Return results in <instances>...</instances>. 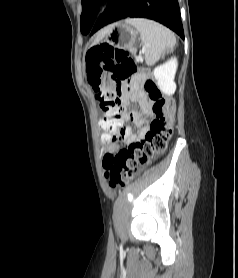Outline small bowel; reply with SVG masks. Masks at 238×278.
I'll return each instance as SVG.
<instances>
[{
  "label": "small bowel",
  "instance_id": "small-bowel-1",
  "mask_svg": "<svg viewBox=\"0 0 238 278\" xmlns=\"http://www.w3.org/2000/svg\"><path fill=\"white\" fill-rule=\"evenodd\" d=\"M130 102L138 103L141 109V113L137 111L128 110L127 107ZM152 102L148 98L145 90L143 89L142 81L139 78H135L123 85L122 95V113L120 119V127L114 135L104 134L103 140L109 142L108 149H114L118 144H126L128 142L141 141L146 132L147 127H142L145 121L142 115H152ZM125 121H131L135 125L142 127L140 133L135 135L129 126H124ZM121 150V149H120ZM112 155V154H106Z\"/></svg>",
  "mask_w": 238,
  "mask_h": 278
}]
</instances>
